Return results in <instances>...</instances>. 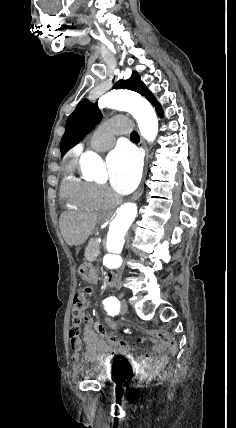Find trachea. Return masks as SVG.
I'll use <instances>...</instances> for the list:
<instances>
[{
    "mask_svg": "<svg viewBox=\"0 0 236 428\" xmlns=\"http://www.w3.org/2000/svg\"><path fill=\"white\" fill-rule=\"evenodd\" d=\"M130 138H131V140L132 139H137V140H139V135H138V133H137V131L135 132H132L131 133V135H130Z\"/></svg>",
    "mask_w": 236,
    "mask_h": 428,
    "instance_id": "3493384b",
    "label": "trachea"
}]
</instances>
